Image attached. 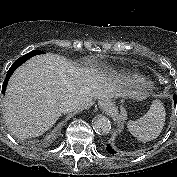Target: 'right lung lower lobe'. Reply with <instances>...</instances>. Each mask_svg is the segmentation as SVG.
Listing matches in <instances>:
<instances>
[{"instance_id":"obj_1","label":"right lung lower lobe","mask_w":177,"mask_h":177,"mask_svg":"<svg viewBox=\"0 0 177 177\" xmlns=\"http://www.w3.org/2000/svg\"><path fill=\"white\" fill-rule=\"evenodd\" d=\"M44 52L42 51H38V50H33L27 54H25L24 56L20 57L19 59H17L13 65L10 67V69L8 70V73L6 75V79L4 80L3 86H2V93L5 92L6 90V86H7V82L10 78V76L12 75V73L15 71V69L17 67H19L21 64H23L26 60H28L29 58L35 56V55H39V54H43Z\"/></svg>"}]
</instances>
